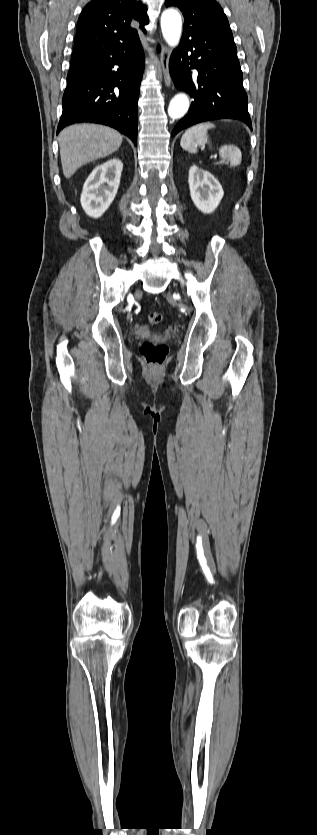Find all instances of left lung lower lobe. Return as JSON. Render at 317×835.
<instances>
[{
  "label": "left lung lower lobe",
  "mask_w": 317,
  "mask_h": 835,
  "mask_svg": "<svg viewBox=\"0 0 317 835\" xmlns=\"http://www.w3.org/2000/svg\"><path fill=\"white\" fill-rule=\"evenodd\" d=\"M169 66L176 87L194 99L172 136L196 123L224 118L240 120L252 130L233 37L210 29L184 34ZM192 69L198 71L195 78Z\"/></svg>",
  "instance_id": "0a47b994"
}]
</instances>
